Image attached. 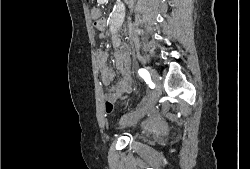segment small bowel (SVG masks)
Returning a JSON list of instances; mask_svg holds the SVG:
<instances>
[{
    "label": "small bowel",
    "mask_w": 250,
    "mask_h": 169,
    "mask_svg": "<svg viewBox=\"0 0 250 169\" xmlns=\"http://www.w3.org/2000/svg\"><path fill=\"white\" fill-rule=\"evenodd\" d=\"M120 14L116 13L114 22L119 21ZM117 45V43H115ZM115 65L120 73V79L107 91L105 98L109 95H116L118 100L125 99L134 93L132 77L130 73V58L126 49H120L114 53ZM108 52L100 50L97 53V61L100 67L102 81L108 85L115 77V72L107 65Z\"/></svg>",
    "instance_id": "obj_1"
}]
</instances>
